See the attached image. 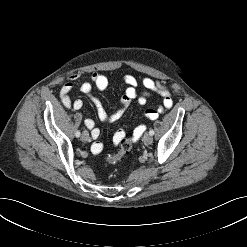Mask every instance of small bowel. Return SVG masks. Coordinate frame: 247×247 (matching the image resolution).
Returning a JSON list of instances; mask_svg holds the SVG:
<instances>
[{
    "label": "small bowel",
    "mask_w": 247,
    "mask_h": 247,
    "mask_svg": "<svg viewBox=\"0 0 247 247\" xmlns=\"http://www.w3.org/2000/svg\"><path fill=\"white\" fill-rule=\"evenodd\" d=\"M79 73H73L68 76L67 82L61 87L59 92L60 100L63 106L67 109L80 110L83 107V101L81 99L72 100L70 97L71 91L75 88L74 81L78 79ZM124 82L126 84V89L124 95L121 97L119 101L118 109L113 113H108L102 102L92 94L93 87L95 86L99 91H104L108 86V78L101 73L93 72L91 74V80L89 82H84L80 86V91L89 96L91 101L93 102L98 118L103 122H114L119 120L126 109L133 103H137L140 106H144L147 104L150 93L155 92L160 95L162 98V104L155 108H147L144 112L145 117L148 120H155L159 113H161L164 109H170L173 106V99L170 93V90L161 84L159 81L150 78L144 77L142 79V85L146 89V91L140 93L138 91V81L132 75H125ZM85 126L90 130L91 137L93 139H97L100 136V129L96 127L95 122L91 118H87L84 121ZM145 125H138L135 127L133 131V139L136 141L142 135L145 130ZM120 134L122 137L125 136V132L122 129H119L114 135V142L118 143L116 136ZM102 149V145L99 143H95L93 145V151L98 153Z\"/></svg>",
    "instance_id": "1"
}]
</instances>
